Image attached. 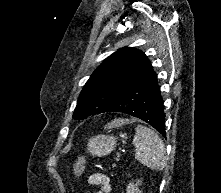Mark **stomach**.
Listing matches in <instances>:
<instances>
[{"label":"stomach","mask_w":221,"mask_h":193,"mask_svg":"<svg viewBox=\"0 0 221 193\" xmlns=\"http://www.w3.org/2000/svg\"><path fill=\"white\" fill-rule=\"evenodd\" d=\"M121 137H124V135H121ZM116 144L117 141L114 136L98 135L89 141L87 150L92 155L105 156L115 149Z\"/></svg>","instance_id":"1"}]
</instances>
